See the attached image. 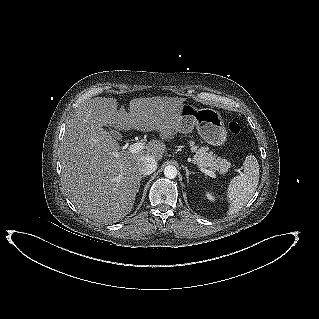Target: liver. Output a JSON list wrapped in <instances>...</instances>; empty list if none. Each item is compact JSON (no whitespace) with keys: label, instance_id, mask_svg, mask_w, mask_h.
Wrapping results in <instances>:
<instances>
[{"label":"liver","instance_id":"1","mask_svg":"<svg viewBox=\"0 0 319 319\" xmlns=\"http://www.w3.org/2000/svg\"><path fill=\"white\" fill-rule=\"evenodd\" d=\"M183 98H135L130 113L118 110L115 98L86 101L70 119L60 146L61 180L78 211L97 222H116L133 208L140 180L139 162L161 160L162 141H150L138 153L119 152V144L103 126L119 130L158 131L164 141L178 132Z\"/></svg>","mask_w":319,"mask_h":319}]
</instances>
